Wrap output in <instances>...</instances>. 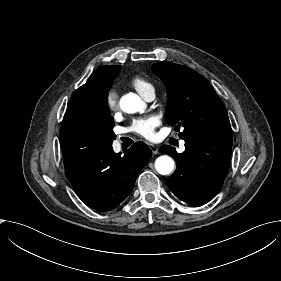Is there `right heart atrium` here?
Instances as JSON below:
<instances>
[{
    "label": "right heart atrium",
    "mask_w": 281,
    "mask_h": 281,
    "mask_svg": "<svg viewBox=\"0 0 281 281\" xmlns=\"http://www.w3.org/2000/svg\"><path fill=\"white\" fill-rule=\"evenodd\" d=\"M106 104L109 108H115L118 104V93L115 89H110L106 93Z\"/></svg>",
    "instance_id": "right-heart-atrium-1"
}]
</instances>
